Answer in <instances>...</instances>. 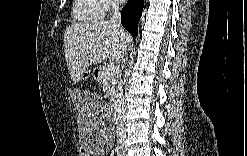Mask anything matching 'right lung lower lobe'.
<instances>
[{"label": "right lung lower lobe", "mask_w": 247, "mask_h": 156, "mask_svg": "<svg viewBox=\"0 0 247 156\" xmlns=\"http://www.w3.org/2000/svg\"><path fill=\"white\" fill-rule=\"evenodd\" d=\"M143 6V0H128L121 12V23L133 37H136L138 33V23Z\"/></svg>", "instance_id": "1"}]
</instances>
